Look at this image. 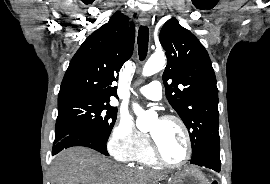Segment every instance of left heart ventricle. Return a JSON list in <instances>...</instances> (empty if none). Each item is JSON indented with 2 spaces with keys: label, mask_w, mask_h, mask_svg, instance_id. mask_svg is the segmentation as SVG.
<instances>
[{
  "label": "left heart ventricle",
  "mask_w": 270,
  "mask_h": 184,
  "mask_svg": "<svg viewBox=\"0 0 270 184\" xmlns=\"http://www.w3.org/2000/svg\"><path fill=\"white\" fill-rule=\"evenodd\" d=\"M156 140L161 155L170 163H179L186 154V142L182 129L174 122L155 120L149 130Z\"/></svg>",
  "instance_id": "b2bd125f"
}]
</instances>
